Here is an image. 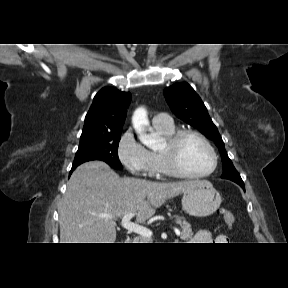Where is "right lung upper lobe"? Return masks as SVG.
Returning a JSON list of instances; mask_svg holds the SVG:
<instances>
[{"label":"right lung upper lobe","instance_id":"1","mask_svg":"<svg viewBox=\"0 0 288 288\" xmlns=\"http://www.w3.org/2000/svg\"><path fill=\"white\" fill-rule=\"evenodd\" d=\"M130 100L129 92L113 87L102 88L94 97L85 117L80 140L121 132Z\"/></svg>","mask_w":288,"mask_h":288}]
</instances>
